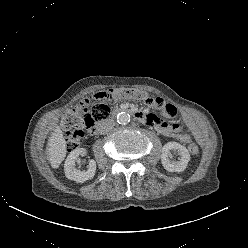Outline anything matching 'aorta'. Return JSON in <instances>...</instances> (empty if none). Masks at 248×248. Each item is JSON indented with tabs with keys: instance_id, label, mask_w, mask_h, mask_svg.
<instances>
[{
	"instance_id": "obj_1",
	"label": "aorta",
	"mask_w": 248,
	"mask_h": 248,
	"mask_svg": "<svg viewBox=\"0 0 248 248\" xmlns=\"http://www.w3.org/2000/svg\"><path fill=\"white\" fill-rule=\"evenodd\" d=\"M117 122L121 125H126L130 122V115L126 112H120L117 115Z\"/></svg>"
}]
</instances>
